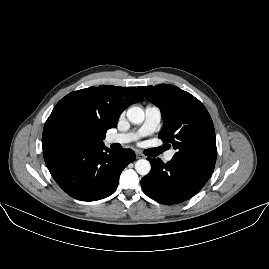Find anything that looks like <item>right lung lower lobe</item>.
Listing matches in <instances>:
<instances>
[{
  "instance_id": "obj_1",
  "label": "right lung lower lobe",
  "mask_w": 269,
  "mask_h": 269,
  "mask_svg": "<svg viewBox=\"0 0 269 269\" xmlns=\"http://www.w3.org/2000/svg\"><path fill=\"white\" fill-rule=\"evenodd\" d=\"M131 149L116 153L102 144L74 142L44 150V160L57 184L70 196L95 201L111 195L123 169L135 160Z\"/></svg>"
}]
</instances>
